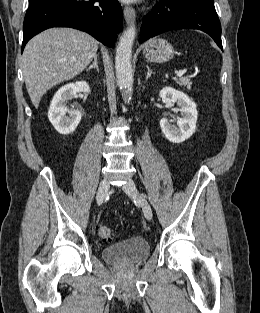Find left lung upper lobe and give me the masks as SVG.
Wrapping results in <instances>:
<instances>
[{
  "mask_svg": "<svg viewBox=\"0 0 260 313\" xmlns=\"http://www.w3.org/2000/svg\"><path fill=\"white\" fill-rule=\"evenodd\" d=\"M207 1L213 2V0H207Z\"/></svg>",
  "mask_w": 260,
  "mask_h": 313,
  "instance_id": "1",
  "label": "left lung upper lobe"
}]
</instances>
